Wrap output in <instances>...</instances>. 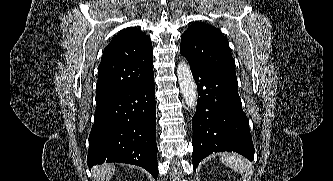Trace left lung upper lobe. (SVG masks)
Returning a JSON list of instances; mask_svg holds the SVG:
<instances>
[{
	"instance_id": "obj_1",
	"label": "left lung upper lobe",
	"mask_w": 333,
	"mask_h": 181,
	"mask_svg": "<svg viewBox=\"0 0 333 181\" xmlns=\"http://www.w3.org/2000/svg\"><path fill=\"white\" fill-rule=\"evenodd\" d=\"M180 52L188 60L237 80L228 42L215 27L191 25L181 36Z\"/></svg>"
}]
</instances>
